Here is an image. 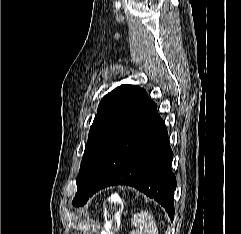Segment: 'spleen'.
I'll return each instance as SVG.
<instances>
[{
	"instance_id": "spleen-1",
	"label": "spleen",
	"mask_w": 241,
	"mask_h": 234,
	"mask_svg": "<svg viewBox=\"0 0 241 234\" xmlns=\"http://www.w3.org/2000/svg\"><path fill=\"white\" fill-rule=\"evenodd\" d=\"M132 225L136 227V230L131 234H158V227L156 225L153 215L142 210L133 216Z\"/></svg>"
}]
</instances>
